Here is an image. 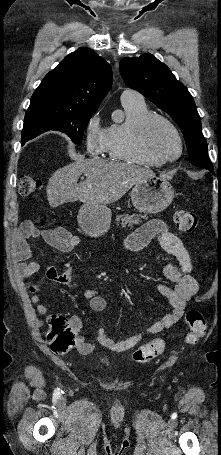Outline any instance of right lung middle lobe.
Returning <instances> with one entry per match:
<instances>
[{
	"label": "right lung middle lobe",
	"mask_w": 221,
	"mask_h": 455,
	"mask_svg": "<svg viewBox=\"0 0 221 455\" xmlns=\"http://www.w3.org/2000/svg\"><path fill=\"white\" fill-rule=\"evenodd\" d=\"M95 111L62 109L47 105L29 106L22 130V145L49 130L66 133L80 145L87 124Z\"/></svg>",
	"instance_id": "1"
}]
</instances>
